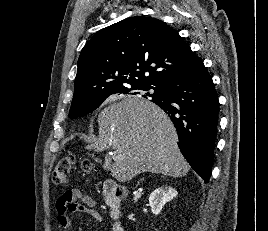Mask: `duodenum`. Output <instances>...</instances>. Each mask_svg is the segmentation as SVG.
<instances>
[{"label": "duodenum", "instance_id": "obj_1", "mask_svg": "<svg viewBox=\"0 0 268 231\" xmlns=\"http://www.w3.org/2000/svg\"><path fill=\"white\" fill-rule=\"evenodd\" d=\"M106 204L110 209L111 218L117 223L116 231H123V228L120 227L122 214H121V199L125 196V193L121 191L115 183L105 182L102 190Z\"/></svg>", "mask_w": 268, "mask_h": 231}]
</instances>
